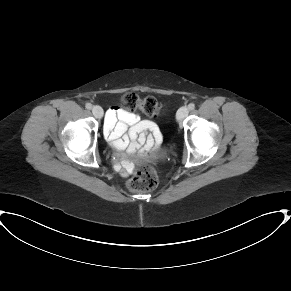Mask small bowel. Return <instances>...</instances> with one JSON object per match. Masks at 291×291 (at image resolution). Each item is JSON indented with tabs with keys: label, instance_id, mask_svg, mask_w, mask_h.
<instances>
[{
	"label": "small bowel",
	"instance_id": "small-bowel-1",
	"mask_svg": "<svg viewBox=\"0 0 291 291\" xmlns=\"http://www.w3.org/2000/svg\"><path fill=\"white\" fill-rule=\"evenodd\" d=\"M127 125L133 126L124 136V139L118 142V145L125 146L128 139H131L128 152L130 154L137 153L141 157L146 156L157 145L156 126L153 123H138L136 115L119 106H111L106 111L104 133L108 139L112 140L124 134ZM120 160L125 169L130 168L125 156H121Z\"/></svg>",
	"mask_w": 291,
	"mask_h": 291
}]
</instances>
